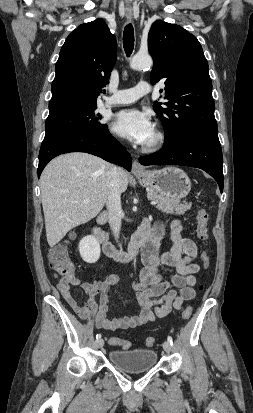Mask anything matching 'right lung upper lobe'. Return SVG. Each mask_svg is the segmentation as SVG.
Listing matches in <instances>:
<instances>
[{"mask_svg": "<svg viewBox=\"0 0 253 413\" xmlns=\"http://www.w3.org/2000/svg\"><path fill=\"white\" fill-rule=\"evenodd\" d=\"M116 55L115 36L102 19L72 31L56 62L49 116L97 107V97L109 83Z\"/></svg>", "mask_w": 253, "mask_h": 413, "instance_id": "cb5924a9", "label": "right lung upper lobe"}]
</instances>
